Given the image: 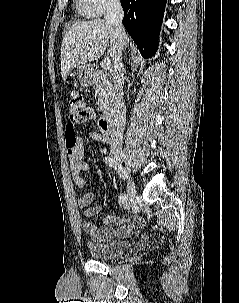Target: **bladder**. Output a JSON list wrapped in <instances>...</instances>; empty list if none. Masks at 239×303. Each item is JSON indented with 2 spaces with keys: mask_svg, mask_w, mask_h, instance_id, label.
<instances>
[{
  "mask_svg": "<svg viewBox=\"0 0 239 303\" xmlns=\"http://www.w3.org/2000/svg\"><path fill=\"white\" fill-rule=\"evenodd\" d=\"M130 241L115 240L109 242H94L86 243L89 254L93 259H112L120 257L128 249Z\"/></svg>",
  "mask_w": 239,
  "mask_h": 303,
  "instance_id": "31cf9c89",
  "label": "bladder"
}]
</instances>
